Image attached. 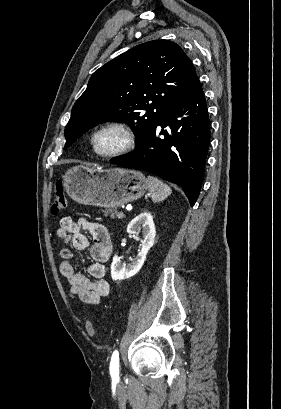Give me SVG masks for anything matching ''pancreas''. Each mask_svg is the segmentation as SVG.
Instances as JSON below:
<instances>
[{
  "instance_id": "obj_1",
  "label": "pancreas",
  "mask_w": 281,
  "mask_h": 409,
  "mask_svg": "<svg viewBox=\"0 0 281 409\" xmlns=\"http://www.w3.org/2000/svg\"><path fill=\"white\" fill-rule=\"evenodd\" d=\"M104 213H105V217H108V215H111L112 219H113L114 215H116V217H118L116 209H109V211H104Z\"/></svg>"
}]
</instances>
